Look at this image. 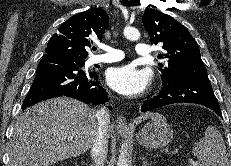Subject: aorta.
<instances>
[{"label":"aorta","mask_w":231,"mask_h":166,"mask_svg":"<svg viewBox=\"0 0 231 166\" xmlns=\"http://www.w3.org/2000/svg\"><path fill=\"white\" fill-rule=\"evenodd\" d=\"M124 36L131 41H136L140 38V32L138 29L133 27H125ZM117 166H129L127 158V149L125 145H122L121 151L119 154Z\"/></svg>","instance_id":"762f6f07"}]
</instances>
